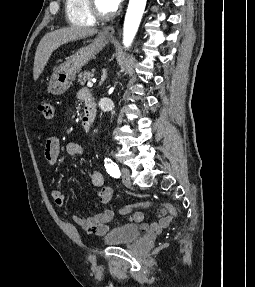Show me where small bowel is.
<instances>
[{
  "label": "small bowel",
  "mask_w": 255,
  "mask_h": 287,
  "mask_svg": "<svg viewBox=\"0 0 255 287\" xmlns=\"http://www.w3.org/2000/svg\"><path fill=\"white\" fill-rule=\"evenodd\" d=\"M80 96V94H79ZM65 151L73 157H83L85 155L84 147L77 142H69L65 146ZM60 153V141L56 136H49L46 139L44 147V158L49 166L56 164ZM91 183L94 187L101 188L98 193V201L100 204H109L113 190L109 186H104V176L99 170H93L90 174ZM52 199L56 206L62 207L65 203V197L59 189H53L51 192ZM157 220L153 223H146L144 215L141 212H133L129 215L128 220L131 223H139L146 231L158 234L166 229L171 223V218L167 215L164 209L156 211ZM115 217V212L112 209H104L91 217L74 216L73 223L82 227L84 230L95 234L103 235L110 229V223Z\"/></svg>",
  "instance_id": "small-bowel-1"
}]
</instances>
